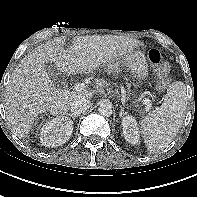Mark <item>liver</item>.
I'll return each mask as SVG.
<instances>
[{
  "label": "liver",
  "mask_w": 197,
  "mask_h": 197,
  "mask_svg": "<svg viewBox=\"0 0 197 197\" xmlns=\"http://www.w3.org/2000/svg\"><path fill=\"white\" fill-rule=\"evenodd\" d=\"M140 45L139 40L125 36L86 35L74 38L67 50L62 38L39 46L15 68L6 87L4 107L9 126L16 136L26 138L39 114L63 115L75 97H93V91L58 89L45 70L47 63H54L67 75L90 74Z\"/></svg>",
  "instance_id": "1"
}]
</instances>
